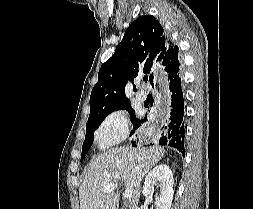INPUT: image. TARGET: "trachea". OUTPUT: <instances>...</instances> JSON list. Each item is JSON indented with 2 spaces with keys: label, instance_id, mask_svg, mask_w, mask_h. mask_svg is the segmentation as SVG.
Wrapping results in <instances>:
<instances>
[{
  "label": "trachea",
  "instance_id": "3493384b",
  "mask_svg": "<svg viewBox=\"0 0 253 209\" xmlns=\"http://www.w3.org/2000/svg\"><path fill=\"white\" fill-rule=\"evenodd\" d=\"M143 80H144V82H147L148 77H144Z\"/></svg>",
  "mask_w": 253,
  "mask_h": 209
}]
</instances>
